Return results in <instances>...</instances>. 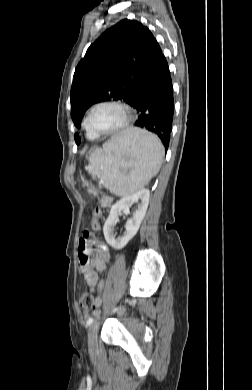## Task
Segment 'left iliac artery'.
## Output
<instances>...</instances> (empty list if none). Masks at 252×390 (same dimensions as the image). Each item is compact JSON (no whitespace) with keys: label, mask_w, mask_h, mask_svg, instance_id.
<instances>
[{"label":"left iliac artery","mask_w":252,"mask_h":390,"mask_svg":"<svg viewBox=\"0 0 252 390\" xmlns=\"http://www.w3.org/2000/svg\"><path fill=\"white\" fill-rule=\"evenodd\" d=\"M118 309H119V308L117 307V308L113 309L112 312L114 313V312H116ZM93 321H94L93 317H89L88 320H87V325H91V324L93 323Z\"/></svg>","instance_id":"left-iliac-artery-1"}]
</instances>
